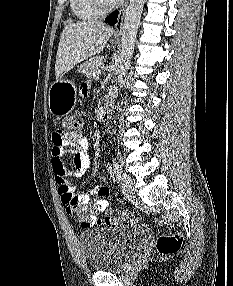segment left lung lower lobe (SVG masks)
Returning <instances> with one entry per match:
<instances>
[{"mask_svg": "<svg viewBox=\"0 0 233 286\" xmlns=\"http://www.w3.org/2000/svg\"><path fill=\"white\" fill-rule=\"evenodd\" d=\"M118 11H115L113 13H111L106 19L105 21L111 25L115 24L118 18Z\"/></svg>", "mask_w": 233, "mask_h": 286, "instance_id": "obj_1", "label": "left lung lower lobe"}]
</instances>
